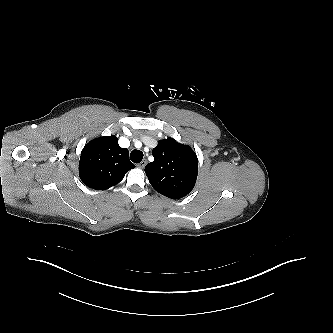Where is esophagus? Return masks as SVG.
<instances>
[{
	"instance_id": "obj_1",
	"label": "esophagus",
	"mask_w": 333,
	"mask_h": 333,
	"mask_svg": "<svg viewBox=\"0 0 333 333\" xmlns=\"http://www.w3.org/2000/svg\"><path fill=\"white\" fill-rule=\"evenodd\" d=\"M147 164V161L146 160H142L139 164H138V167L143 169Z\"/></svg>"
}]
</instances>
